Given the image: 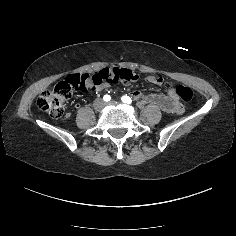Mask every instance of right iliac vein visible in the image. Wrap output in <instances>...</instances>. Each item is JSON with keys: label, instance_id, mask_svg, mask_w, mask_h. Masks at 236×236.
<instances>
[{"label": "right iliac vein", "instance_id": "right-iliac-vein-1", "mask_svg": "<svg viewBox=\"0 0 236 236\" xmlns=\"http://www.w3.org/2000/svg\"><path fill=\"white\" fill-rule=\"evenodd\" d=\"M95 105L98 109H101L104 106V101L102 99H99L96 101Z\"/></svg>", "mask_w": 236, "mask_h": 236}]
</instances>
